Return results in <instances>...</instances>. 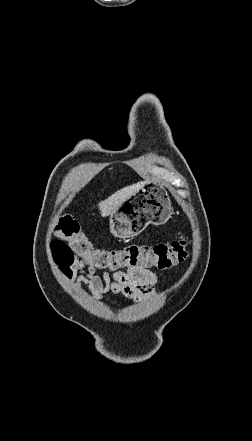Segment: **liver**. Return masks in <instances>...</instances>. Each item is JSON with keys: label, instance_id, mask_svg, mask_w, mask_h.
Here are the masks:
<instances>
[{"label": "liver", "instance_id": "6515ba94", "mask_svg": "<svg viewBox=\"0 0 252 441\" xmlns=\"http://www.w3.org/2000/svg\"><path fill=\"white\" fill-rule=\"evenodd\" d=\"M145 184L146 182L143 181L130 186H126L118 190L114 194H112L106 200L101 201L98 204L101 215L102 216L111 215L115 211L118 205H120L123 201L134 195Z\"/></svg>", "mask_w": 252, "mask_h": 441}]
</instances>
